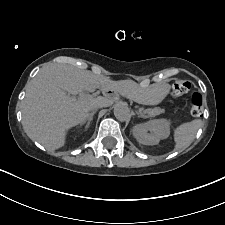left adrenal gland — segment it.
I'll use <instances>...</instances> for the list:
<instances>
[{"instance_id":"obj_1","label":"left adrenal gland","mask_w":225,"mask_h":225,"mask_svg":"<svg viewBox=\"0 0 225 225\" xmlns=\"http://www.w3.org/2000/svg\"><path fill=\"white\" fill-rule=\"evenodd\" d=\"M139 117L141 118H148V116L144 115L143 113H138Z\"/></svg>"}]
</instances>
